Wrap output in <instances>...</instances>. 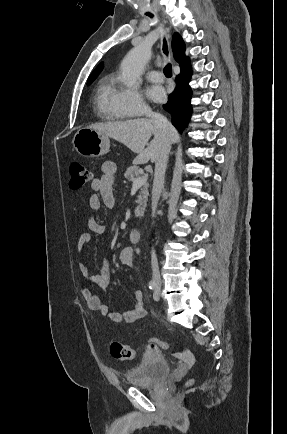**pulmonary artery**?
<instances>
[{
  "instance_id": "1",
  "label": "pulmonary artery",
  "mask_w": 287,
  "mask_h": 434,
  "mask_svg": "<svg viewBox=\"0 0 287 434\" xmlns=\"http://www.w3.org/2000/svg\"><path fill=\"white\" fill-rule=\"evenodd\" d=\"M147 78L151 81H154V82H162L163 81L162 73L159 71H155V70L149 71L147 73Z\"/></svg>"
}]
</instances>
